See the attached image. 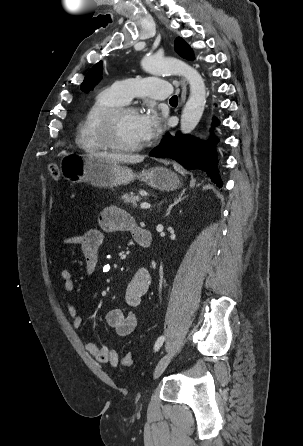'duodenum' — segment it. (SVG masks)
<instances>
[{"label":"duodenum","instance_id":"410a0bca","mask_svg":"<svg viewBox=\"0 0 303 446\" xmlns=\"http://www.w3.org/2000/svg\"><path fill=\"white\" fill-rule=\"evenodd\" d=\"M151 234L147 229H141L136 235V242L142 247H149L151 245Z\"/></svg>","mask_w":303,"mask_h":446}]
</instances>
